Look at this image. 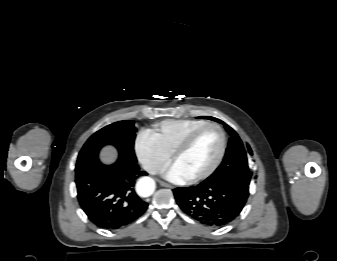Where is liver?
I'll return each mask as SVG.
<instances>
[{"mask_svg": "<svg viewBox=\"0 0 337 261\" xmlns=\"http://www.w3.org/2000/svg\"><path fill=\"white\" fill-rule=\"evenodd\" d=\"M116 151L112 147H107L101 152L100 159L105 163H111L116 159Z\"/></svg>", "mask_w": 337, "mask_h": 261, "instance_id": "1", "label": "liver"}]
</instances>
